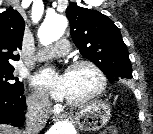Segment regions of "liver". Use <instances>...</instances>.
<instances>
[{
  "label": "liver",
  "instance_id": "liver-1",
  "mask_svg": "<svg viewBox=\"0 0 153 134\" xmlns=\"http://www.w3.org/2000/svg\"><path fill=\"white\" fill-rule=\"evenodd\" d=\"M0 134H22V131L9 125L0 124Z\"/></svg>",
  "mask_w": 153,
  "mask_h": 134
}]
</instances>
